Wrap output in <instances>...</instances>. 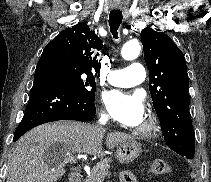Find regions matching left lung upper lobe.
<instances>
[{
  "label": "left lung upper lobe",
  "instance_id": "obj_1",
  "mask_svg": "<svg viewBox=\"0 0 211 182\" xmlns=\"http://www.w3.org/2000/svg\"><path fill=\"white\" fill-rule=\"evenodd\" d=\"M149 90L169 148L194 157L195 134L189 112V79L182 51L172 39L151 28L141 31Z\"/></svg>",
  "mask_w": 211,
  "mask_h": 182
}]
</instances>
